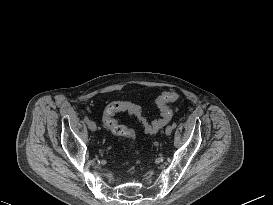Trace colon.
<instances>
[{"mask_svg":"<svg viewBox=\"0 0 273 205\" xmlns=\"http://www.w3.org/2000/svg\"><path fill=\"white\" fill-rule=\"evenodd\" d=\"M179 94L176 92H164L156 100L157 107L160 111V118L148 122L144 117L142 110L136 105L126 107L123 103H111L103 111L102 122L114 135L126 137L129 140V146L132 147L135 139V131L115 119V114L126 109L128 113L137 117L147 133L153 134L166 126L172 119L173 112L169 104L178 100Z\"/></svg>","mask_w":273,"mask_h":205,"instance_id":"1","label":"colon"}]
</instances>
